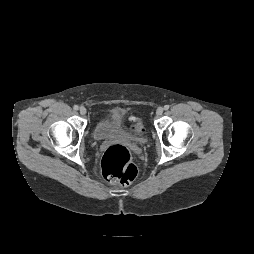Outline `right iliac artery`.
<instances>
[{
  "label": "right iliac artery",
  "instance_id": "right-iliac-artery-1",
  "mask_svg": "<svg viewBox=\"0 0 254 254\" xmlns=\"http://www.w3.org/2000/svg\"><path fill=\"white\" fill-rule=\"evenodd\" d=\"M78 108L79 107L77 105H74V107H73L74 110H78Z\"/></svg>",
  "mask_w": 254,
  "mask_h": 254
}]
</instances>
